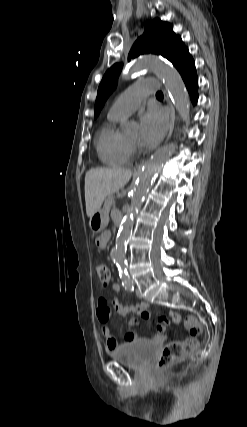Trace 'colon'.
<instances>
[{"mask_svg": "<svg viewBox=\"0 0 247 427\" xmlns=\"http://www.w3.org/2000/svg\"><path fill=\"white\" fill-rule=\"evenodd\" d=\"M96 272L102 286L107 287L111 280L108 265L104 262H98L96 264ZM184 326L189 331L191 337L183 342H171L167 344L157 359V366L159 368L166 367L173 362L186 357L198 348V336L202 332L201 325L194 317L188 316L184 320Z\"/></svg>", "mask_w": 247, "mask_h": 427, "instance_id": "colon-1", "label": "colon"}]
</instances>
